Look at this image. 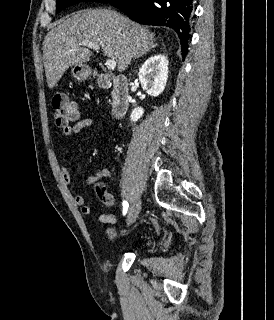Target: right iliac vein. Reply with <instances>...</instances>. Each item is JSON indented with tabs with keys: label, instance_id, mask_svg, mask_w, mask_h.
Here are the masks:
<instances>
[{
	"label": "right iliac vein",
	"instance_id": "1",
	"mask_svg": "<svg viewBox=\"0 0 274 320\" xmlns=\"http://www.w3.org/2000/svg\"><path fill=\"white\" fill-rule=\"evenodd\" d=\"M140 210H141V201L139 198H137L132 202L129 208V213L127 217V226H130L135 222L136 218L139 215Z\"/></svg>",
	"mask_w": 274,
	"mask_h": 320
}]
</instances>
